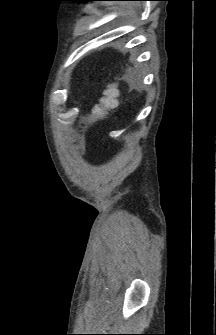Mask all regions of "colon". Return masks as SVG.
<instances>
[{
  "mask_svg": "<svg viewBox=\"0 0 216 335\" xmlns=\"http://www.w3.org/2000/svg\"><path fill=\"white\" fill-rule=\"evenodd\" d=\"M118 106V84H109L104 90L99 102L92 108L91 114L85 117L81 128H86L89 123L95 120L104 119L107 114Z\"/></svg>",
  "mask_w": 216,
  "mask_h": 335,
  "instance_id": "colon-1",
  "label": "colon"
}]
</instances>
